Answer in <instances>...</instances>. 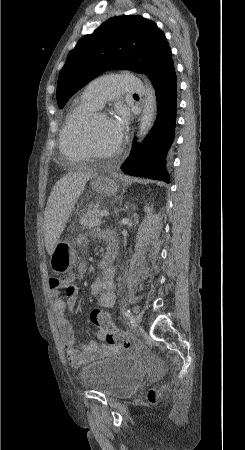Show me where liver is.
Instances as JSON below:
<instances>
[{"instance_id":"obj_1","label":"liver","mask_w":245,"mask_h":450,"mask_svg":"<svg viewBox=\"0 0 245 450\" xmlns=\"http://www.w3.org/2000/svg\"><path fill=\"white\" fill-rule=\"evenodd\" d=\"M97 176L96 169L70 172L54 185L44 212L45 247L51 256L87 181Z\"/></svg>"}]
</instances>
